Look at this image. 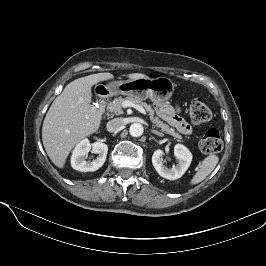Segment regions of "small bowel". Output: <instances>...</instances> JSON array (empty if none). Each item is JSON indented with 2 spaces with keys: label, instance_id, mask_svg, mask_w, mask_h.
<instances>
[{
  "label": "small bowel",
  "instance_id": "c3829d8e",
  "mask_svg": "<svg viewBox=\"0 0 266 266\" xmlns=\"http://www.w3.org/2000/svg\"><path fill=\"white\" fill-rule=\"evenodd\" d=\"M157 114L172 127L176 128L182 134L189 135L192 132L191 126L181 116V108L178 105H167L157 103L155 105Z\"/></svg>",
  "mask_w": 266,
  "mask_h": 266
}]
</instances>
